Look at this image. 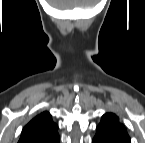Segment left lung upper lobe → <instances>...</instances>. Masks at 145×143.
<instances>
[{
	"label": "left lung upper lobe",
	"mask_w": 145,
	"mask_h": 143,
	"mask_svg": "<svg viewBox=\"0 0 145 143\" xmlns=\"http://www.w3.org/2000/svg\"><path fill=\"white\" fill-rule=\"evenodd\" d=\"M95 137L109 143H130V137L124 125L119 122V118L113 113H106L102 116Z\"/></svg>",
	"instance_id": "obj_1"
}]
</instances>
